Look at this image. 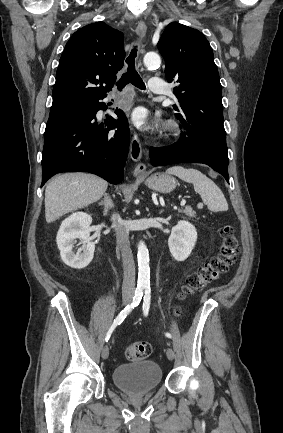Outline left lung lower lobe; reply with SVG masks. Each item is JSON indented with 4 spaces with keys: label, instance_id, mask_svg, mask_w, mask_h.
Masks as SVG:
<instances>
[{
    "label": "left lung lower lobe",
    "instance_id": "obj_1",
    "mask_svg": "<svg viewBox=\"0 0 283 433\" xmlns=\"http://www.w3.org/2000/svg\"><path fill=\"white\" fill-rule=\"evenodd\" d=\"M181 139L167 147H151V165L204 163L219 172L229 182L228 155L224 128L211 125H183Z\"/></svg>",
    "mask_w": 283,
    "mask_h": 433
}]
</instances>
